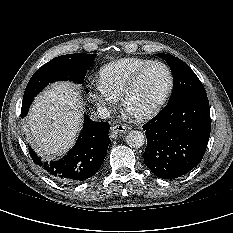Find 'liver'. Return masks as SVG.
<instances>
[{
    "instance_id": "liver-1",
    "label": "liver",
    "mask_w": 233,
    "mask_h": 233,
    "mask_svg": "<svg viewBox=\"0 0 233 233\" xmlns=\"http://www.w3.org/2000/svg\"><path fill=\"white\" fill-rule=\"evenodd\" d=\"M83 101L76 85L55 83L32 105L26 126L37 152L51 160L72 147L82 125Z\"/></svg>"
}]
</instances>
